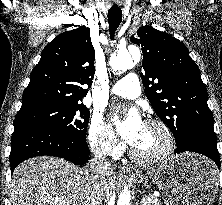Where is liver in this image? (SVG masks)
Listing matches in <instances>:
<instances>
[{
	"label": "liver",
	"instance_id": "liver-1",
	"mask_svg": "<svg viewBox=\"0 0 222 205\" xmlns=\"http://www.w3.org/2000/svg\"><path fill=\"white\" fill-rule=\"evenodd\" d=\"M115 186L113 171L97 175L54 156L21 163L9 185L11 205H101Z\"/></svg>",
	"mask_w": 222,
	"mask_h": 205
}]
</instances>
